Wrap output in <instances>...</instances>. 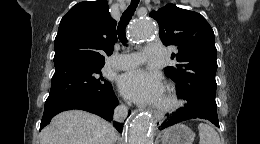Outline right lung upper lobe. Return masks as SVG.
Instances as JSON below:
<instances>
[{"label":"right lung upper lobe","instance_id":"cb5924a9","mask_svg":"<svg viewBox=\"0 0 260 144\" xmlns=\"http://www.w3.org/2000/svg\"><path fill=\"white\" fill-rule=\"evenodd\" d=\"M107 0L80 2L62 18L55 38V69L70 64L104 65L117 41Z\"/></svg>","mask_w":260,"mask_h":144}]
</instances>
